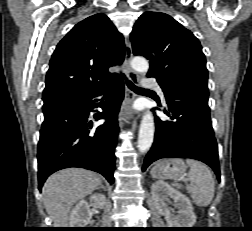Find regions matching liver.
<instances>
[{
    "label": "liver",
    "mask_w": 252,
    "mask_h": 231,
    "mask_svg": "<svg viewBox=\"0 0 252 231\" xmlns=\"http://www.w3.org/2000/svg\"><path fill=\"white\" fill-rule=\"evenodd\" d=\"M100 185V178L84 169L70 168L51 175L43 186L42 194L54 228H65L73 205Z\"/></svg>",
    "instance_id": "1"
}]
</instances>
